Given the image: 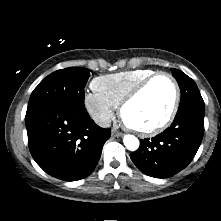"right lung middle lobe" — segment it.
<instances>
[{
  "label": "right lung middle lobe",
  "mask_w": 221,
  "mask_h": 221,
  "mask_svg": "<svg viewBox=\"0 0 221 221\" xmlns=\"http://www.w3.org/2000/svg\"><path fill=\"white\" fill-rule=\"evenodd\" d=\"M90 71L83 67H70L51 73L33 90L27 111L61 103L84 106V87Z\"/></svg>",
  "instance_id": "obj_1"
}]
</instances>
